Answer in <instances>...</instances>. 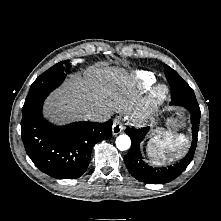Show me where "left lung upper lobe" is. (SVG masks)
<instances>
[{"label": "left lung upper lobe", "instance_id": "obj_1", "mask_svg": "<svg viewBox=\"0 0 221 221\" xmlns=\"http://www.w3.org/2000/svg\"><path fill=\"white\" fill-rule=\"evenodd\" d=\"M164 67L165 75L170 85L177 80H183L175 70H173L167 65H164Z\"/></svg>", "mask_w": 221, "mask_h": 221}]
</instances>
